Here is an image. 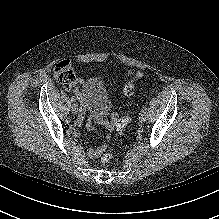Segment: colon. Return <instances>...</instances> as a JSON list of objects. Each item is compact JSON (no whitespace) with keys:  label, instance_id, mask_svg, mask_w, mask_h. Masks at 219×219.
<instances>
[{"label":"colon","instance_id":"obj_1","mask_svg":"<svg viewBox=\"0 0 219 219\" xmlns=\"http://www.w3.org/2000/svg\"><path fill=\"white\" fill-rule=\"evenodd\" d=\"M55 79L63 85H70L75 79V70L72 63L69 60H63L59 62L54 68ZM123 93L130 95L134 91L133 82L130 81L123 86ZM131 122V117L126 115L122 118H114L110 124V128L114 129L119 135H123ZM112 158V154L106 153L101 157V162L103 164L108 163Z\"/></svg>","mask_w":219,"mask_h":219}]
</instances>
